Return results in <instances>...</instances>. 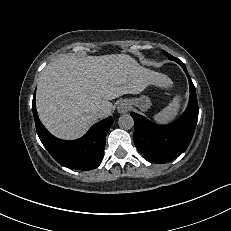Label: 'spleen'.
Instances as JSON below:
<instances>
[{
	"label": "spleen",
	"mask_w": 231,
	"mask_h": 231,
	"mask_svg": "<svg viewBox=\"0 0 231 231\" xmlns=\"http://www.w3.org/2000/svg\"><path fill=\"white\" fill-rule=\"evenodd\" d=\"M181 100V96L176 95L168 106L153 116V120L159 124H167L173 121L181 109Z\"/></svg>",
	"instance_id": "obj_1"
}]
</instances>
